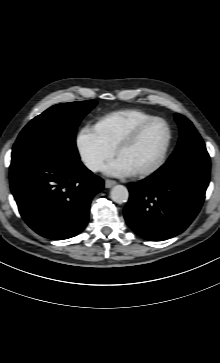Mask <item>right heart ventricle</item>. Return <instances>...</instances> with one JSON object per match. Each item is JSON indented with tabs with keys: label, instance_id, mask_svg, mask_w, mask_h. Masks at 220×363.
Listing matches in <instances>:
<instances>
[{
	"label": "right heart ventricle",
	"instance_id": "1",
	"mask_svg": "<svg viewBox=\"0 0 220 363\" xmlns=\"http://www.w3.org/2000/svg\"><path fill=\"white\" fill-rule=\"evenodd\" d=\"M152 117L141 110L123 109L100 117L94 127L103 140L113 148L135 126Z\"/></svg>",
	"mask_w": 220,
	"mask_h": 363
}]
</instances>
